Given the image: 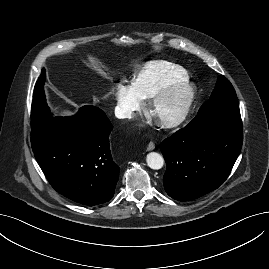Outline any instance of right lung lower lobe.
Returning <instances> with one entry per match:
<instances>
[{"mask_svg": "<svg viewBox=\"0 0 269 269\" xmlns=\"http://www.w3.org/2000/svg\"><path fill=\"white\" fill-rule=\"evenodd\" d=\"M112 129L101 109L87 105L72 117H50L32 131L35 158L57 192L90 206L113 197L119 166L110 151Z\"/></svg>", "mask_w": 269, "mask_h": 269, "instance_id": "obj_1", "label": "right lung lower lobe"}]
</instances>
